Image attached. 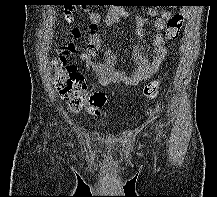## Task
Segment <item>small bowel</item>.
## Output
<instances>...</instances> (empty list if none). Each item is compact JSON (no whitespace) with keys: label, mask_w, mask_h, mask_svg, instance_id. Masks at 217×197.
I'll list each match as a JSON object with an SVG mask.
<instances>
[{"label":"small bowel","mask_w":217,"mask_h":197,"mask_svg":"<svg viewBox=\"0 0 217 197\" xmlns=\"http://www.w3.org/2000/svg\"><path fill=\"white\" fill-rule=\"evenodd\" d=\"M165 6H168V4ZM160 9H162L160 17H158L154 22L156 34L152 41L153 57L151 60H148L142 54L141 49L139 47H135L132 57L134 63L136 64V68L132 75H127L124 71L117 70L115 68L117 64V56L110 48L104 49L102 62L96 61L95 58L97 52L102 45V39L97 33V25L102 20V17L100 14L92 11L91 9L83 7L82 11L91 21V25L87 29L88 47L83 53L80 54V59L88 68L96 73L101 85L109 86L120 83L125 87H135L141 82L151 78L159 70L167 54L165 39L162 32L171 17V13L164 9V7L159 8L158 6L152 7L148 11L149 15L156 16ZM128 16L129 13L124 8L114 7L106 13L103 18V22L106 26H113L114 24L120 22L121 19L127 18ZM63 17L68 24H72L75 21L74 8L71 6L65 7ZM135 22V34L138 38H143L146 19L141 16H137L135 18ZM78 34L79 31L77 29L72 30V36L74 38L77 37ZM69 51L71 54H74L77 51V46L74 41L69 43Z\"/></svg>","instance_id":"small-bowel-1"}]
</instances>
